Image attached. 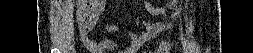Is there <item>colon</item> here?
Listing matches in <instances>:
<instances>
[{
    "mask_svg": "<svg viewBox=\"0 0 253 53\" xmlns=\"http://www.w3.org/2000/svg\"><path fill=\"white\" fill-rule=\"evenodd\" d=\"M80 6L77 11V23L80 26L87 25L92 17L93 8L90 6L93 1L90 0H83L79 1ZM170 50V45L168 42H163L160 45L159 52H165L168 53ZM146 52H151L150 50H147Z\"/></svg>",
    "mask_w": 253,
    "mask_h": 53,
    "instance_id": "colon-1",
    "label": "colon"
}]
</instances>
